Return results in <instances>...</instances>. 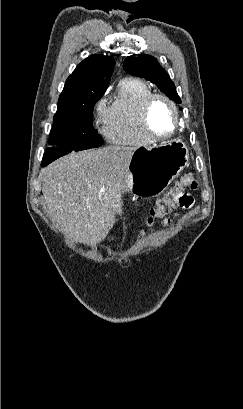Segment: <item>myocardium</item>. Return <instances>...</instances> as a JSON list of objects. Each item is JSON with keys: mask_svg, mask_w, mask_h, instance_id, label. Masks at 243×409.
<instances>
[{"mask_svg": "<svg viewBox=\"0 0 243 409\" xmlns=\"http://www.w3.org/2000/svg\"><path fill=\"white\" fill-rule=\"evenodd\" d=\"M157 99H161L165 101L170 106L174 114V118H175L174 129L170 133L165 134V135L156 134L152 130L151 125H150V110H151L153 102ZM140 117H141V124H142V127L145 133L153 141H161V140L169 139L173 137L180 128V114H179L178 108L175 102L171 98L166 96L165 94H161V93L149 94L142 102L141 110H140Z\"/></svg>", "mask_w": 243, "mask_h": 409, "instance_id": "1", "label": "myocardium"}]
</instances>
